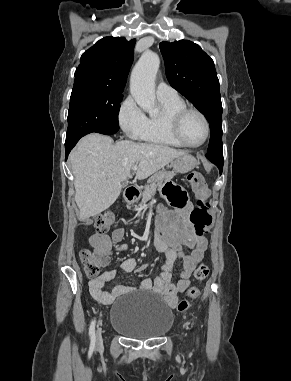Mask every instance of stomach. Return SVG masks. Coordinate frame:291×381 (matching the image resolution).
<instances>
[{
  "mask_svg": "<svg viewBox=\"0 0 291 381\" xmlns=\"http://www.w3.org/2000/svg\"><path fill=\"white\" fill-rule=\"evenodd\" d=\"M195 165L196 159L188 153L180 155L172 162L174 171L178 173H187L191 171Z\"/></svg>",
  "mask_w": 291,
  "mask_h": 381,
  "instance_id": "stomach-1",
  "label": "stomach"
}]
</instances>
